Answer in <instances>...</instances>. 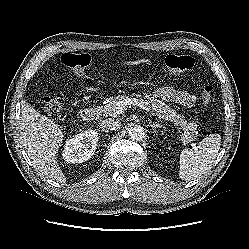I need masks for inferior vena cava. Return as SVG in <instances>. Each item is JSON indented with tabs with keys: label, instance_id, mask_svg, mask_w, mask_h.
<instances>
[{
	"label": "inferior vena cava",
	"instance_id": "602c4592",
	"mask_svg": "<svg viewBox=\"0 0 249 249\" xmlns=\"http://www.w3.org/2000/svg\"><path fill=\"white\" fill-rule=\"evenodd\" d=\"M99 124L101 127L106 128V129H110V130H117L121 126V122L118 120H114V119L102 120V121H100Z\"/></svg>",
	"mask_w": 249,
	"mask_h": 249
}]
</instances>
